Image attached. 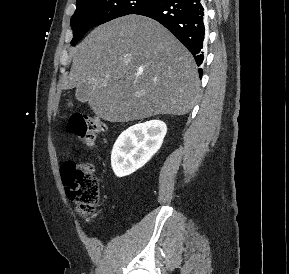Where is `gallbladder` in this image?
Listing matches in <instances>:
<instances>
[{
	"instance_id": "1",
	"label": "gallbladder",
	"mask_w": 289,
	"mask_h": 274,
	"mask_svg": "<svg viewBox=\"0 0 289 274\" xmlns=\"http://www.w3.org/2000/svg\"><path fill=\"white\" fill-rule=\"evenodd\" d=\"M90 86L88 84L81 85L76 90V98L81 102H86L89 96Z\"/></svg>"
}]
</instances>
